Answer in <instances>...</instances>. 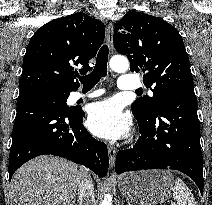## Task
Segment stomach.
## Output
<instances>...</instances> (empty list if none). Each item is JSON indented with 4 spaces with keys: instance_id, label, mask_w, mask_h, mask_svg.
Wrapping results in <instances>:
<instances>
[{
    "instance_id": "0dacf381",
    "label": "stomach",
    "mask_w": 212,
    "mask_h": 205,
    "mask_svg": "<svg viewBox=\"0 0 212 205\" xmlns=\"http://www.w3.org/2000/svg\"><path fill=\"white\" fill-rule=\"evenodd\" d=\"M174 178L168 170L132 172L118 178L123 196L137 205H157L171 196Z\"/></svg>"
}]
</instances>
